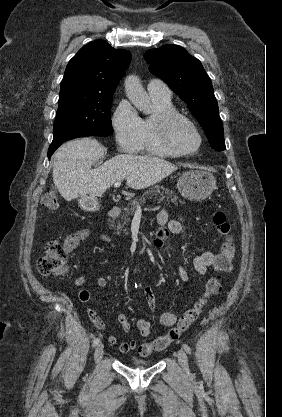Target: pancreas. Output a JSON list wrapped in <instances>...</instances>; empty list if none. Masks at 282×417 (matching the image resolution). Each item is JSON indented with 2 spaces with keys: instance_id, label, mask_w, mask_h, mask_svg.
Returning a JSON list of instances; mask_svg holds the SVG:
<instances>
[{
  "instance_id": "cf45deb5",
  "label": "pancreas",
  "mask_w": 282,
  "mask_h": 417,
  "mask_svg": "<svg viewBox=\"0 0 282 417\" xmlns=\"http://www.w3.org/2000/svg\"><path fill=\"white\" fill-rule=\"evenodd\" d=\"M161 194L160 198H158L159 202L161 200H164L166 198L167 202L168 200H171V202H174V204H178V196L177 194H174L173 190H170V188H165V186H160V184H155V186H151L150 190H145L143 196L139 198V200H133V202H129L128 206H126V209H124L123 215H120L121 221H117V235H120V231H125V235H128L127 227L130 223V215H134L135 209H137L138 204H143L145 202L147 194ZM164 194H167V196H164ZM171 194V196H169ZM181 202H184V200H181ZM110 223H113V221H110Z\"/></svg>"
}]
</instances>
